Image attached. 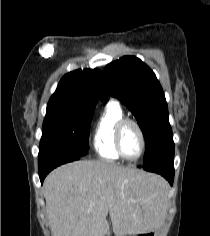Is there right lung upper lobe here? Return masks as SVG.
I'll return each instance as SVG.
<instances>
[{
    "label": "right lung upper lobe",
    "instance_id": "right-lung-upper-lobe-1",
    "mask_svg": "<svg viewBox=\"0 0 210 236\" xmlns=\"http://www.w3.org/2000/svg\"><path fill=\"white\" fill-rule=\"evenodd\" d=\"M100 87V71L85 69L72 71L61 79L48 106H67L90 110L97 104Z\"/></svg>",
    "mask_w": 210,
    "mask_h": 236
}]
</instances>
